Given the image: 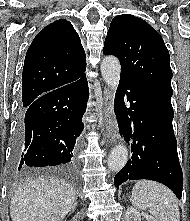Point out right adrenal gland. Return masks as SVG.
I'll use <instances>...</instances> for the list:
<instances>
[{
  "instance_id": "right-adrenal-gland-1",
  "label": "right adrenal gland",
  "mask_w": 190,
  "mask_h": 221,
  "mask_svg": "<svg viewBox=\"0 0 190 221\" xmlns=\"http://www.w3.org/2000/svg\"><path fill=\"white\" fill-rule=\"evenodd\" d=\"M76 205H77V202H74L72 208H71V212H74L75 211V208H76Z\"/></svg>"
}]
</instances>
